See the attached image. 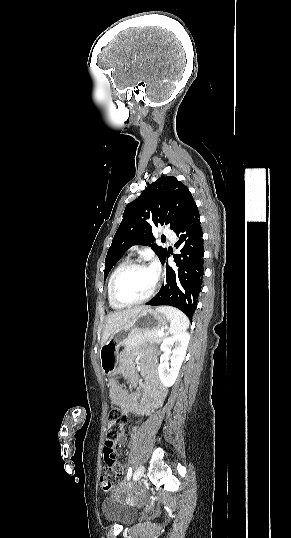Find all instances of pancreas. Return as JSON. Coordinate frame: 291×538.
Wrapping results in <instances>:
<instances>
[{"instance_id":"1","label":"pancreas","mask_w":291,"mask_h":538,"mask_svg":"<svg viewBox=\"0 0 291 538\" xmlns=\"http://www.w3.org/2000/svg\"><path fill=\"white\" fill-rule=\"evenodd\" d=\"M166 337L167 334L159 335L157 331H143L130 336L124 345L135 349L147 342L160 344Z\"/></svg>"}]
</instances>
